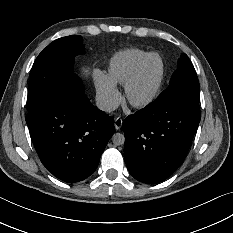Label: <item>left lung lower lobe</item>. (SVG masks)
Masks as SVG:
<instances>
[{"label":"left lung lower lobe","mask_w":233,"mask_h":233,"mask_svg":"<svg viewBox=\"0 0 233 233\" xmlns=\"http://www.w3.org/2000/svg\"><path fill=\"white\" fill-rule=\"evenodd\" d=\"M201 118L199 104L152 102L123 122L124 158L138 181L155 184L183 163Z\"/></svg>","instance_id":"left-lung-lower-lobe-1"}]
</instances>
